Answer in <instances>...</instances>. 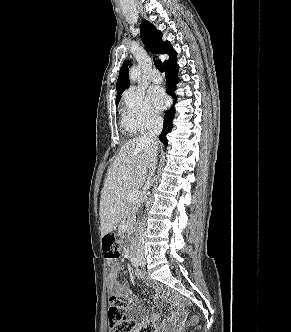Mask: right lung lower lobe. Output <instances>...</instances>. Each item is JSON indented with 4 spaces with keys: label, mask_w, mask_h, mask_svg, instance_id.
<instances>
[{
    "label": "right lung lower lobe",
    "mask_w": 291,
    "mask_h": 332,
    "mask_svg": "<svg viewBox=\"0 0 291 332\" xmlns=\"http://www.w3.org/2000/svg\"><path fill=\"white\" fill-rule=\"evenodd\" d=\"M176 59L171 61L170 63L164 65L165 71H166V92L169 94L173 99L174 103H176L177 96L174 93V90L176 89V83H178V78H177V72H178V66L175 63ZM175 114V109L174 106H172L168 111L165 113L164 117V126L163 130L159 136L160 141L167 146L168 141H167V134L172 130V120L174 118Z\"/></svg>",
    "instance_id": "obj_1"
}]
</instances>
